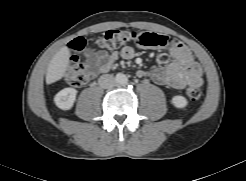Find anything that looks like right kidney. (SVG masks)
Listing matches in <instances>:
<instances>
[{
  "label": "right kidney",
  "mask_w": 246,
  "mask_h": 181,
  "mask_svg": "<svg viewBox=\"0 0 246 181\" xmlns=\"http://www.w3.org/2000/svg\"><path fill=\"white\" fill-rule=\"evenodd\" d=\"M77 95L74 88H64L54 97L56 106L62 110H70L73 107Z\"/></svg>",
  "instance_id": "1"
}]
</instances>
